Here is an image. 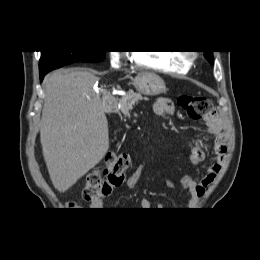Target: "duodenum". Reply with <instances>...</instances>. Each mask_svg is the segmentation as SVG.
Listing matches in <instances>:
<instances>
[{"mask_svg": "<svg viewBox=\"0 0 260 260\" xmlns=\"http://www.w3.org/2000/svg\"><path fill=\"white\" fill-rule=\"evenodd\" d=\"M106 110L110 113H114L117 110V105L112 101L106 102Z\"/></svg>", "mask_w": 260, "mask_h": 260, "instance_id": "duodenum-1", "label": "duodenum"}]
</instances>
